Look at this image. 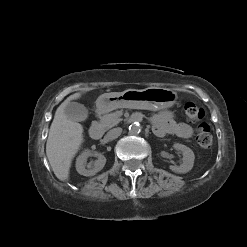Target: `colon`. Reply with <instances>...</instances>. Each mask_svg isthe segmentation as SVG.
Wrapping results in <instances>:
<instances>
[{
	"mask_svg": "<svg viewBox=\"0 0 247 247\" xmlns=\"http://www.w3.org/2000/svg\"><path fill=\"white\" fill-rule=\"evenodd\" d=\"M185 116L188 122L196 125L197 142L200 147L208 149L213 144V138L210 133V127L203 122L204 111L193 102H188L184 106Z\"/></svg>",
	"mask_w": 247,
	"mask_h": 247,
	"instance_id": "1",
	"label": "colon"
}]
</instances>
